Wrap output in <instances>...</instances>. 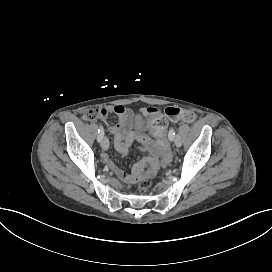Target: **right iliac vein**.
<instances>
[{
  "label": "right iliac vein",
  "mask_w": 272,
  "mask_h": 272,
  "mask_svg": "<svg viewBox=\"0 0 272 272\" xmlns=\"http://www.w3.org/2000/svg\"><path fill=\"white\" fill-rule=\"evenodd\" d=\"M101 147L104 150H107L109 148V140L105 136L101 139Z\"/></svg>",
  "instance_id": "63e3f726"
}]
</instances>
